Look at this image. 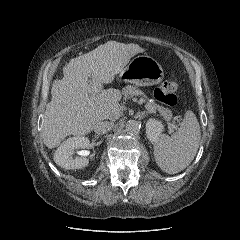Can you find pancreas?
I'll use <instances>...</instances> for the list:
<instances>
[{"instance_id": "cf45deb5", "label": "pancreas", "mask_w": 240, "mask_h": 240, "mask_svg": "<svg viewBox=\"0 0 240 240\" xmlns=\"http://www.w3.org/2000/svg\"><path fill=\"white\" fill-rule=\"evenodd\" d=\"M122 93L125 98H130V97L139 96V95L144 96L142 91H140V90L136 89L134 86H130V85L123 88ZM147 105L153 107L155 109V111H158L167 122H169L172 119V112L170 109L159 106L158 104H156L153 101L147 102Z\"/></svg>"}]
</instances>
